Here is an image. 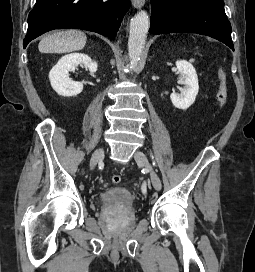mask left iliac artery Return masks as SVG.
<instances>
[{
    "label": "left iliac artery",
    "mask_w": 255,
    "mask_h": 272,
    "mask_svg": "<svg viewBox=\"0 0 255 272\" xmlns=\"http://www.w3.org/2000/svg\"><path fill=\"white\" fill-rule=\"evenodd\" d=\"M152 158H153V157H152ZM153 164H155V163L153 162ZM142 194H143V195H146V194H147L145 185H142Z\"/></svg>",
    "instance_id": "left-iliac-artery-1"
}]
</instances>
